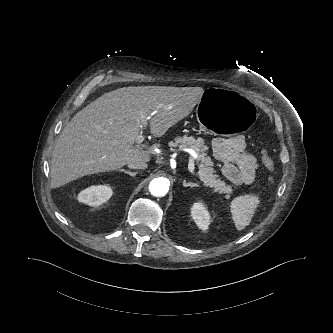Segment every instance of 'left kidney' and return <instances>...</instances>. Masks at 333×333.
Here are the masks:
<instances>
[{
	"label": "left kidney",
	"mask_w": 333,
	"mask_h": 333,
	"mask_svg": "<svg viewBox=\"0 0 333 333\" xmlns=\"http://www.w3.org/2000/svg\"><path fill=\"white\" fill-rule=\"evenodd\" d=\"M191 216L201 230L206 231L208 229L210 215L203 203L197 202L193 204L191 208Z\"/></svg>",
	"instance_id": "left-kidney-1"
}]
</instances>
